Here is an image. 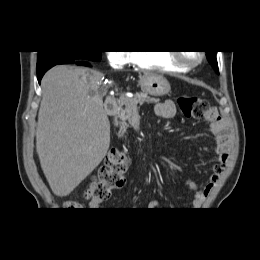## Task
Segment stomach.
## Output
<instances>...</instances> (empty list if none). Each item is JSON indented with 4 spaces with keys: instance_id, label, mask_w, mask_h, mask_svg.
I'll use <instances>...</instances> for the list:
<instances>
[{
    "instance_id": "stomach-1",
    "label": "stomach",
    "mask_w": 260,
    "mask_h": 260,
    "mask_svg": "<svg viewBox=\"0 0 260 260\" xmlns=\"http://www.w3.org/2000/svg\"><path fill=\"white\" fill-rule=\"evenodd\" d=\"M139 86L145 94L151 96H164L171 90L168 80L161 75H147L140 76Z\"/></svg>"
}]
</instances>
